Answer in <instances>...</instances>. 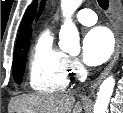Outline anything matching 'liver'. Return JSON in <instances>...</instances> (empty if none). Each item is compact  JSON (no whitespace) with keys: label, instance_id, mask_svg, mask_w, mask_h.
<instances>
[{"label":"liver","instance_id":"6515ba94","mask_svg":"<svg viewBox=\"0 0 123 113\" xmlns=\"http://www.w3.org/2000/svg\"><path fill=\"white\" fill-rule=\"evenodd\" d=\"M82 108L71 93L27 95L12 102V111L16 113H81Z\"/></svg>","mask_w":123,"mask_h":113}]
</instances>
